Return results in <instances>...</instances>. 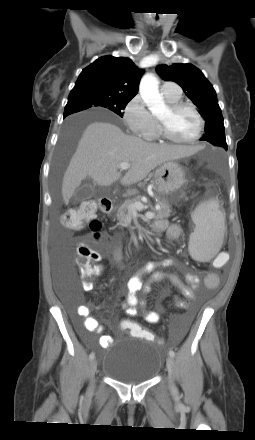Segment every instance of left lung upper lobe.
Segmentation results:
<instances>
[{
  "mask_svg": "<svg viewBox=\"0 0 255 440\" xmlns=\"http://www.w3.org/2000/svg\"><path fill=\"white\" fill-rule=\"evenodd\" d=\"M157 73L166 81L179 84L185 94L199 108V113L206 121L205 140L227 150L223 116L218 105L217 95L203 73L192 64L159 65Z\"/></svg>",
  "mask_w": 255,
  "mask_h": 440,
  "instance_id": "left-lung-upper-lobe-1",
  "label": "left lung upper lobe"
}]
</instances>
